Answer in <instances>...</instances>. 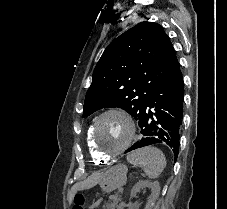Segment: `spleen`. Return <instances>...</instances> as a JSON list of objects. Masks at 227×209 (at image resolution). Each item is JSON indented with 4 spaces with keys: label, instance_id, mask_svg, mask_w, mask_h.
Masks as SVG:
<instances>
[{
    "label": "spleen",
    "instance_id": "obj_1",
    "mask_svg": "<svg viewBox=\"0 0 227 209\" xmlns=\"http://www.w3.org/2000/svg\"><path fill=\"white\" fill-rule=\"evenodd\" d=\"M128 163L134 167H142L149 179H157L166 167V157L156 147H143L127 155Z\"/></svg>",
    "mask_w": 227,
    "mask_h": 209
}]
</instances>
